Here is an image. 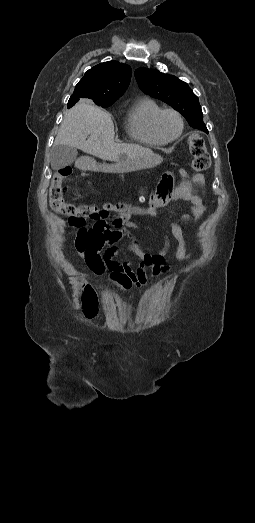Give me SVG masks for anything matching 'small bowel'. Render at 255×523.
<instances>
[{
    "instance_id": "1",
    "label": "small bowel",
    "mask_w": 255,
    "mask_h": 523,
    "mask_svg": "<svg viewBox=\"0 0 255 523\" xmlns=\"http://www.w3.org/2000/svg\"><path fill=\"white\" fill-rule=\"evenodd\" d=\"M181 174L183 181L173 192L167 190L162 197H159L158 194L153 196L150 205L146 208L129 209L121 215V223L115 224L113 228H110L106 221L94 222L91 227L68 221L69 226L75 229L73 244L76 251L95 274H102L105 270L122 273L133 280L136 285L141 286L148 282L145 275L146 268H151V280L169 272L170 266L165 262V257L170 249L169 238L164 235V246L156 253L142 251L133 235V232L140 230L141 227L131 221V218L140 215L156 217L160 208L167 206L171 200L180 199L187 202L190 212L184 215L183 219L194 218L199 220L206 211V205L204 197L196 194L195 188L204 184V176L202 174L190 175L185 171H181ZM167 223L177 243L175 258L178 262L183 263L191 258L192 253H189L186 249L181 226L169 220H167ZM125 237L128 238V242L125 245L120 244ZM106 246L107 249L104 250ZM124 248L131 249L136 253L138 257L136 272L132 270L133 263L131 261L120 263L116 260V256Z\"/></svg>"
}]
</instances>
